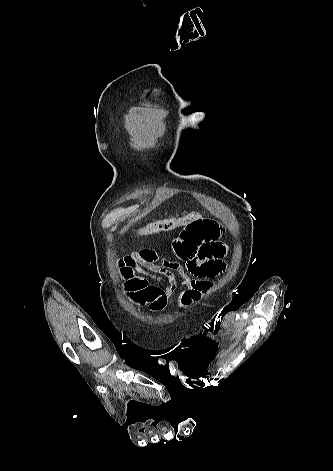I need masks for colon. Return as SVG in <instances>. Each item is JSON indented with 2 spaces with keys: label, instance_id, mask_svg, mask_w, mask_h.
Wrapping results in <instances>:
<instances>
[{
  "label": "colon",
  "instance_id": "1",
  "mask_svg": "<svg viewBox=\"0 0 333 471\" xmlns=\"http://www.w3.org/2000/svg\"><path fill=\"white\" fill-rule=\"evenodd\" d=\"M199 217H201L199 212H191L180 217H169L156 220L140 227L137 230V233L142 236H148L159 232L171 231L176 228L185 227Z\"/></svg>",
  "mask_w": 333,
  "mask_h": 471
}]
</instances>
